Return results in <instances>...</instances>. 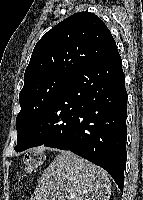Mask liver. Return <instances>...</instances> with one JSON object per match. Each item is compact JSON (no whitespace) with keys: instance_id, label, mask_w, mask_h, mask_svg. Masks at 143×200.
Masks as SVG:
<instances>
[{"instance_id":"1","label":"liver","mask_w":143,"mask_h":200,"mask_svg":"<svg viewBox=\"0 0 143 200\" xmlns=\"http://www.w3.org/2000/svg\"><path fill=\"white\" fill-rule=\"evenodd\" d=\"M107 173L70 151H61L43 172L30 200H109Z\"/></svg>"}]
</instances>
